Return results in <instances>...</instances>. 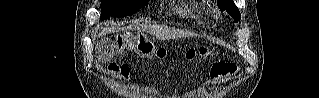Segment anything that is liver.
I'll use <instances>...</instances> for the list:
<instances>
[{
  "label": "liver",
  "instance_id": "6515ba94",
  "mask_svg": "<svg viewBox=\"0 0 319 98\" xmlns=\"http://www.w3.org/2000/svg\"><path fill=\"white\" fill-rule=\"evenodd\" d=\"M126 29L127 30H133V29L143 30L148 33H151L159 40H170L175 38H185V37L193 36V34L190 32H186V31L178 30V29L176 30L174 28H170L167 26L146 25V24H139V23L129 25ZM121 30H123V28H120L115 25L107 26L101 30L98 37L100 38L107 34L119 32ZM98 59L102 62H106L102 60V58L99 55H98Z\"/></svg>",
  "mask_w": 319,
  "mask_h": 98
}]
</instances>
